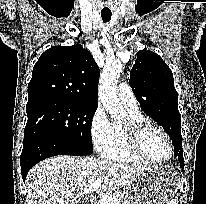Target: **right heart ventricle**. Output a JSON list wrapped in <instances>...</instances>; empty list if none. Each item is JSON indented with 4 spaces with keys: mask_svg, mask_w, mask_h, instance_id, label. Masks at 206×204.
<instances>
[{
    "mask_svg": "<svg viewBox=\"0 0 206 204\" xmlns=\"http://www.w3.org/2000/svg\"><path fill=\"white\" fill-rule=\"evenodd\" d=\"M125 108L128 113L127 119L144 118L138 108H130L128 106H125ZM100 153L104 158L117 162L137 165L147 164L131 150L124 131V122H111L109 140Z\"/></svg>",
    "mask_w": 206,
    "mask_h": 204,
    "instance_id": "1",
    "label": "right heart ventricle"
}]
</instances>
